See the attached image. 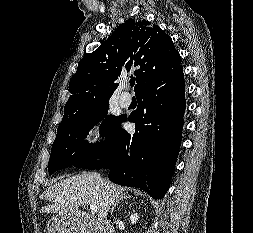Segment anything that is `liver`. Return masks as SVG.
I'll list each match as a JSON object with an SVG mask.
<instances>
[{
  "mask_svg": "<svg viewBox=\"0 0 253 233\" xmlns=\"http://www.w3.org/2000/svg\"><path fill=\"white\" fill-rule=\"evenodd\" d=\"M124 188L109 180H97L93 173H84L61 180L48 187L41 199L52 204L40 209V213L77 214L80 206L96 205L98 219L103 221L109 208L124 196Z\"/></svg>",
  "mask_w": 253,
  "mask_h": 233,
  "instance_id": "obj_1",
  "label": "liver"
}]
</instances>
